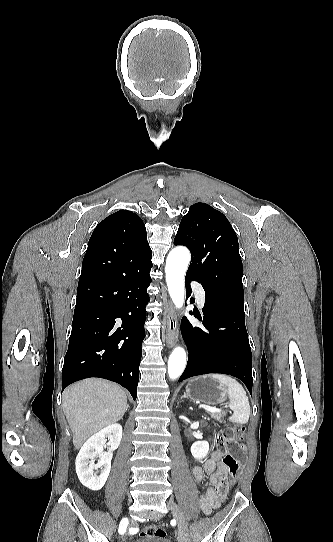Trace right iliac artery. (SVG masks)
<instances>
[{
  "mask_svg": "<svg viewBox=\"0 0 333 542\" xmlns=\"http://www.w3.org/2000/svg\"><path fill=\"white\" fill-rule=\"evenodd\" d=\"M127 525H128V519L123 518L122 521L120 522V525H119V533L120 534L125 533Z\"/></svg>",
  "mask_w": 333,
  "mask_h": 542,
  "instance_id": "obj_1",
  "label": "right iliac artery"
}]
</instances>
